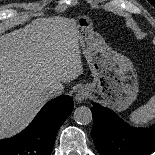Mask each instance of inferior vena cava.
I'll use <instances>...</instances> for the list:
<instances>
[{
    "label": "inferior vena cava",
    "instance_id": "obj_1",
    "mask_svg": "<svg viewBox=\"0 0 155 155\" xmlns=\"http://www.w3.org/2000/svg\"><path fill=\"white\" fill-rule=\"evenodd\" d=\"M63 91V87L61 85L58 84H52L47 86L44 91L43 94L46 98H53L58 96L59 94H61Z\"/></svg>",
    "mask_w": 155,
    "mask_h": 155
}]
</instances>
